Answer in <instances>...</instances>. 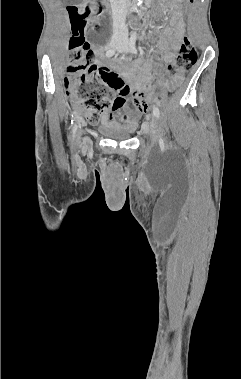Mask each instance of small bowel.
<instances>
[{"label": "small bowel", "instance_id": "c3829d8e", "mask_svg": "<svg viewBox=\"0 0 241 379\" xmlns=\"http://www.w3.org/2000/svg\"><path fill=\"white\" fill-rule=\"evenodd\" d=\"M167 3L171 10L170 25L164 29L158 41V49L162 53L163 61L172 64L175 58V51L179 48L184 35V23L180 11L182 0H168ZM151 69L152 66L149 64L131 66L123 72V78L108 69L113 72L128 89L132 87L134 91L127 92L124 96L117 93L114 105L110 112L103 117L104 120H113L131 129L137 126L140 116L147 115V109L151 107V102L143 101L142 97L144 92L147 93L151 88Z\"/></svg>", "mask_w": 241, "mask_h": 379}]
</instances>
